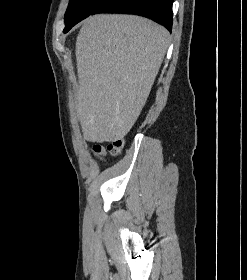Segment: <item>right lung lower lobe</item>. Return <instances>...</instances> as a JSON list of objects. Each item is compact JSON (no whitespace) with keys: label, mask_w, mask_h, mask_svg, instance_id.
<instances>
[{"label":"right lung lower lobe","mask_w":247,"mask_h":280,"mask_svg":"<svg viewBox=\"0 0 247 280\" xmlns=\"http://www.w3.org/2000/svg\"><path fill=\"white\" fill-rule=\"evenodd\" d=\"M173 0H106L93 14L97 13H129L150 18L172 30ZM72 27L66 28L67 32Z\"/></svg>","instance_id":"right-lung-lower-lobe-1"}]
</instances>
